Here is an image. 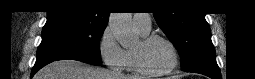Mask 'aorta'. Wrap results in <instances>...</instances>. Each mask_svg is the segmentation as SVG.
I'll list each match as a JSON object with an SVG mask.
<instances>
[{
    "instance_id": "aorta-1",
    "label": "aorta",
    "mask_w": 255,
    "mask_h": 79,
    "mask_svg": "<svg viewBox=\"0 0 255 79\" xmlns=\"http://www.w3.org/2000/svg\"><path fill=\"white\" fill-rule=\"evenodd\" d=\"M108 24L122 47H128L135 41L131 13H111Z\"/></svg>"
}]
</instances>
